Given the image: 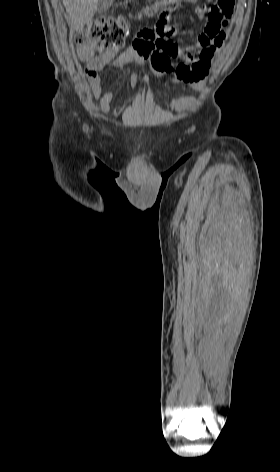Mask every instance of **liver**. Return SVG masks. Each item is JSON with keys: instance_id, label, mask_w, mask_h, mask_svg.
<instances>
[{"instance_id": "6515ba94", "label": "liver", "mask_w": 280, "mask_h": 472, "mask_svg": "<svg viewBox=\"0 0 280 472\" xmlns=\"http://www.w3.org/2000/svg\"><path fill=\"white\" fill-rule=\"evenodd\" d=\"M68 14V21L75 31H82L92 20L98 8V0H62Z\"/></svg>"}]
</instances>
